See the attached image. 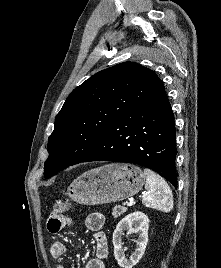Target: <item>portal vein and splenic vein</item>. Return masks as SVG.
<instances>
[{
    "instance_id": "1",
    "label": "portal vein and splenic vein",
    "mask_w": 221,
    "mask_h": 268,
    "mask_svg": "<svg viewBox=\"0 0 221 268\" xmlns=\"http://www.w3.org/2000/svg\"><path fill=\"white\" fill-rule=\"evenodd\" d=\"M134 204H135V202L132 199H130L129 202L126 203V206L130 207Z\"/></svg>"
}]
</instances>
